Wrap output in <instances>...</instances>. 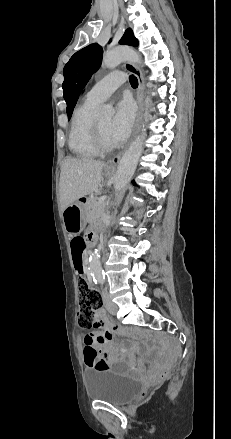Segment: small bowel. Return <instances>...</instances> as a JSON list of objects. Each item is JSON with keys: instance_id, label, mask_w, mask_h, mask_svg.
Masks as SVG:
<instances>
[{"instance_id": "small-bowel-1", "label": "small bowel", "mask_w": 231, "mask_h": 439, "mask_svg": "<svg viewBox=\"0 0 231 439\" xmlns=\"http://www.w3.org/2000/svg\"><path fill=\"white\" fill-rule=\"evenodd\" d=\"M68 209H70V207ZM91 237L92 233L88 235V240H90ZM71 248L72 256L76 263L79 264L84 251V244L81 242L74 243L73 241ZM93 326L94 328L101 330L86 333L82 337V353L87 367L96 368L95 365L98 361L107 363L105 369H111L113 371L129 370L131 367L135 366L134 358L128 349L124 347L116 348L114 346L111 325L103 309L97 311L96 320ZM88 352L94 354L93 360L89 365L86 360ZM98 355H100V359H98Z\"/></svg>"}]
</instances>
